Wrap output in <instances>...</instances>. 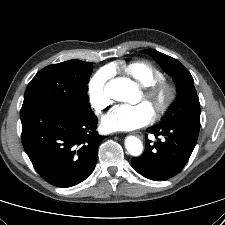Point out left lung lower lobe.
<instances>
[{"instance_id": "1", "label": "left lung lower lobe", "mask_w": 225, "mask_h": 225, "mask_svg": "<svg viewBox=\"0 0 225 225\" xmlns=\"http://www.w3.org/2000/svg\"><path fill=\"white\" fill-rule=\"evenodd\" d=\"M200 124L174 123L156 125L147 129L155 137L161 135L165 140L151 144L145 136L146 146L140 157L132 158L134 170L146 178L163 181L178 174L196 145Z\"/></svg>"}]
</instances>
